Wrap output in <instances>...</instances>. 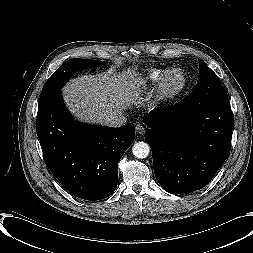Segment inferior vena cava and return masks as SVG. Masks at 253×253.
Returning <instances> with one entry per match:
<instances>
[{
    "label": "inferior vena cava",
    "mask_w": 253,
    "mask_h": 253,
    "mask_svg": "<svg viewBox=\"0 0 253 253\" xmlns=\"http://www.w3.org/2000/svg\"><path fill=\"white\" fill-rule=\"evenodd\" d=\"M126 121H127V118L122 113H119V114H113L109 116L106 119L105 124L110 127H120L123 124H125Z\"/></svg>",
    "instance_id": "602c4592"
}]
</instances>
